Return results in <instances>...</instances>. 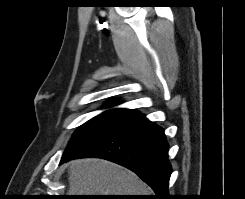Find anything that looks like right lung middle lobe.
Here are the masks:
<instances>
[{"instance_id":"dd1d6c3e","label":"right lung middle lobe","mask_w":245,"mask_h":199,"mask_svg":"<svg viewBox=\"0 0 245 199\" xmlns=\"http://www.w3.org/2000/svg\"><path fill=\"white\" fill-rule=\"evenodd\" d=\"M126 118L124 115L102 113L89 120L75 132L63 157L69 156L98 140Z\"/></svg>"}]
</instances>
